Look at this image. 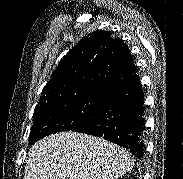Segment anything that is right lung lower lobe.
I'll return each mask as SVG.
<instances>
[{
	"label": "right lung lower lobe",
	"instance_id": "98d812e1",
	"mask_svg": "<svg viewBox=\"0 0 183 179\" xmlns=\"http://www.w3.org/2000/svg\"><path fill=\"white\" fill-rule=\"evenodd\" d=\"M145 130L144 92L134 73L109 86L94 116L75 132L104 138L142 160Z\"/></svg>",
	"mask_w": 183,
	"mask_h": 179
}]
</instances>
